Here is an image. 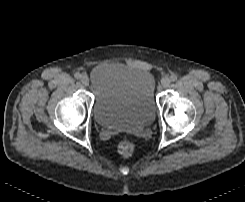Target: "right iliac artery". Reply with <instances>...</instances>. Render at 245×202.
<instances>
[{
	"instance_id": "obj_1",
	"label": "right iliac artery",
	"mask_w": 245,
	"mask_h": 202,
	"mask_svg": "<svg viewBox=\"0 0 245 202\" xmlns=\"http://www.w3.org/2000/svg\"><path fill=\"white\" fill-rule=\"evenodd\" d=\"M74 77H75L76 79H80V78H81V74H80L79 72H76V73L74 74Z\"/></svg>"
}]
</instances>
